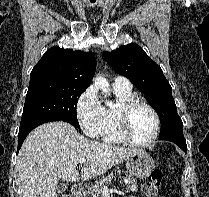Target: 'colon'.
<instances>
[{"mask_svg":"<svg viewBox=\"0 0 209 197\" xmlns=\"http://www.w3.org/2000/svg\"><path fill=\"white\" fill-rule=\"evenodd\" d=\"M163 180V173L160 170H154L150 174L148 180L143 185V193L147 197H156L161 183ZM62 197H69L68 195H63Z\"/></svg>","mask_w":209,"mask_h":197,"instance_id":"colon-1","label":"colon"}]
</instances>
